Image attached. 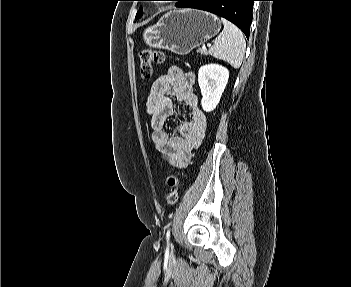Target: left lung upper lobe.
I'll return each instance as SVG.
<instances>
[{
  "mask_svg": "<svg viewBox=\"0 0 351 287\" xmlns=\"http://www.w3.org/2000/svg\"><path fill=\"white\" fill-rule=\"evenodd\" d=\"M173 1H181V0H173ZM143 16V8L142 7H140V9H139V11H138V13H137V15H136V19H139V18H141Z\"/></svg>",
  "mask_w": 351,
  "mask_h": 287,
  "instance_id": "5c2ea615",
  "label": "left lung upper lobe"
}]
</instances>
